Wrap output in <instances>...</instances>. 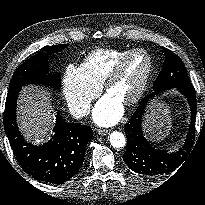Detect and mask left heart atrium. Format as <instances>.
Returning <instances> with one entry per match:
<instances>
[{"mask_svg":"<svg viewBox=\"0 0 205 205\" xmlns=\"http://www.w3.org/2000/svg\"><path fill=\"white\" fill-rule=\"evenodd\" d=\"M122 113L120 102L110 95H105L97 102L93 118L101 126H111L120 120Z\"/></svg>","mask_w":205,"mask_h":205,"instance_id":"1","label":"left heart atrium"}]
</instances>
